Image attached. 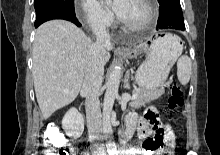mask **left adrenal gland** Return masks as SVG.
<instances>
[{"label":"left adrenal gland","instance_id":"obj_1","mask_svg":"<svg viewBox=\"0 0 220 155\" xmlns=\"http://www.w3.org/2000/svg\"><path fill=\"white\" fill-rule=\"evenodd\" d=\"M129 78H130V72L128 71L126 73L125 79H124V88L125 89H130Z\"/></svg>","mask_w":220,"mask_h":155}]
</instances>
